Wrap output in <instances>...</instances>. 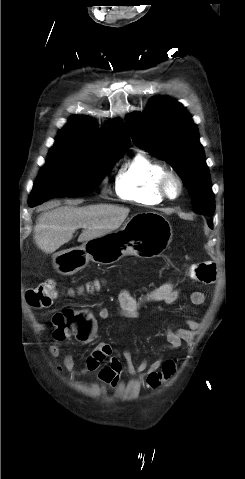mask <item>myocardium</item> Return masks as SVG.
<instances>
[{
	"mask_svg": "<svg viewBox=\"0 0 245 479\" xmlns=\"http://www.w3.org/2000/svg\"><path fill=\"white\" fill-rule=\"evenodd\" d=\"M173 183L177 186V192L175 194H171L170 192V186ZM158 188L164 199L175 201L182 195L184 183L177 173L167 170L159 179Z\"/></svg>",
	"mask_w": 245,
	"mask_h": 479,
	"instance_id": "f54148a6",
	"label": "myocardium"
}]
</instances>
